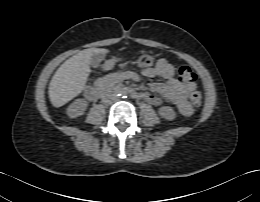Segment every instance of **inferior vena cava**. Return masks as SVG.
<instances>
[{"label":"inferior vena cava","mask_w":260,"mask_h":202,"mask_svg":"<svg viewBox=\"0 0 260 202\" xmlns=\"http://www.w3.org/2000/svg\"><path fill=\"white\" fill-rule=\"evenodd\" d=\"M116 100H117V98L113 94H105L102 97V103H104V104H112V103L116 102Z\"/></svg>","instance_id":"obj_1"}]
</instances>
